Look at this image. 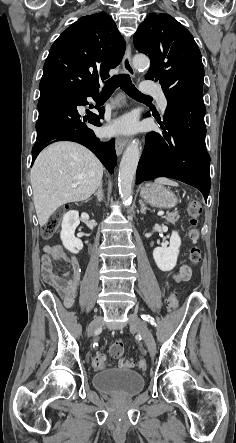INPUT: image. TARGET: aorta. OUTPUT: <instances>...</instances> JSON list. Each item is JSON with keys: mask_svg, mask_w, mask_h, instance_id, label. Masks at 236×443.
I'll return each mask as SVG.
<instances>
[{"mask_svg": "<svg viewBox=\"0 0 236 443\" xmlns=\"http://www.w3.org/2000/svg\"><path fill=\"white\" fill-rule=\"evenodd\" d=\"M133 65L136 69H148L150 61L145 55H136L133 58ZM141 149L139 141H132L126 148L119 167L118 186L119 193L125 205L132 202L133 182L136 169L140 159Z\"/></svg>", "mask_w": 236, "mask_h": 443, "instance_id": "obj_1", "label": "aorta"}]
</instances>
